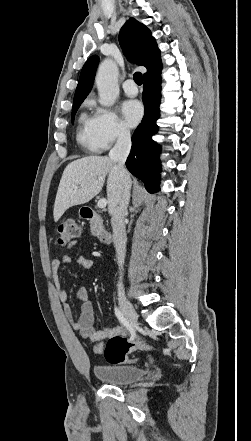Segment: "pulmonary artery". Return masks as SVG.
I'll return each instance as SVG.
<instances>
[{
  "label": "pulmonary artery",
  "instance_id": "1",
  "mask_svg": "<svg viewBox=\"0 0 251 441\" xmlns=\"http://www.w3.org/2000/svg\"><path fill=\"white\" fill-rule=\"evenodd\" d=\"M123 90L128 96H136L138 88L132 79H128L123 83Z\"/></svg>",
  "mask_w": 251,
  "mask_h": 441
}]
</instances>
